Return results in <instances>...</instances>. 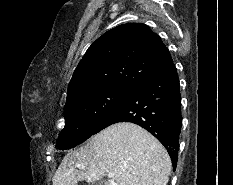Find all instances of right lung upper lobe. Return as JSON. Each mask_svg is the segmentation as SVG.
<instances>
[{
	"label": "right lung upper lobe",
	"mask_w": 233,
	"mask_h": 185,
	"mask_svg": "<svg viewBox=\"0 0 233 185\" xmlns=\"http://www.w3.org/2000/svg\"><path fill=\"white\" fill-rule=\"evenodd\" d=\"M172 62L168 49L148 26L139 23L117 26L86 51L69 83L66 103L104 88L131 90Z\"/></svg>",
	"instance_id": "obj_1"
}]
</instances>
